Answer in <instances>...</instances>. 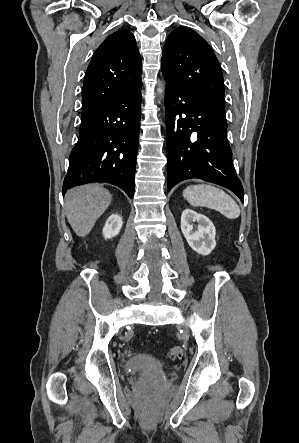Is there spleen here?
Returning <instances> with one entry per match:
<instances>
[{"label": "spleen", "instance_id": "obj_1", "mask_svg": "<svg viewBox=\"0 0 299 443\" xmlns=\"http://www.w3.org/2000/svg\"><path fill=\"white\" fill-rule=\"evenodd\" d=\"M183 197L191 206L217 210L226 218L235 219L240 216V208L235 200L215 186L207 184L188 186L183 191Z\"/></svg>", "mask_w": 299, "mask_h": 443}]
</instances>
